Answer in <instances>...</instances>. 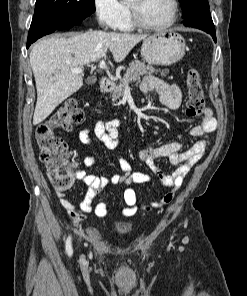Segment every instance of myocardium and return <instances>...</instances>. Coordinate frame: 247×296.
Here are the masks:
<instances>
[{
    "label": "myocardium",
    "instance_id": "obj_1",
    "mask_svg": "<svg viewBox=\"0 0 247 296\" xmlns=\"http://www.w3.org/2000/svg\"><path fill=\"white\" fill-rule=\"evenodd\" d=\"M169 3L171 5V13L169 19L164 22L163 24L159 25H152L144 22L137 11V9L128 2V9L130 12V17L133 25H135L138 28H141L143 30L148 31H163L168 28H170L177 20L178 11H179V5L177 0H169Z\"/></svg>",
    "mask_w": 247,
    "mask_h": 296
}]
</instances>
